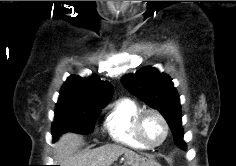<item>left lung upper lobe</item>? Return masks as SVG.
I'll list each match as a JSON object with an SVG mask.
<instances>
[{"label":"left lung upper lobe","instance_id":"left-lung-upper-lobe-1","mask_svg":"<svg viewBox=\"0 0 236 166\" xmlns=\"http://www.w3.org/2000/svg\"><path fill=\"white\" fill-rule=\"evenodd\" d=\"M126 88L147 105L160 111L169 126L181 122L180 99L172 79L152 67L121 78Z\"/></svg>","mask_w":236,"mask_h":166}]
</instances>
